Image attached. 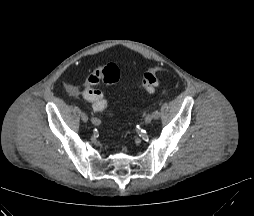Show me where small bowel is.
<instances>
[{"label": "small bowel", "instance_id": "1", "mask_svg": "<svg viewBox=\"0 0 254 216\" xmlns=\"http://www.w3.org/2000/svg\"><path fill=\"white\" fill-rule=\"evenodd\" d=\"M65 89L66 91L71 95V96H78L80 94V90L74 86V85H71V84H67L65 86ZM83 96H84V91H83ZM90 102V101H89ZM92 103V102H91ZM93 105V104H92ZM93 108L95 111H102L104 109V107H99V106H94L93 105Z\"/></svg>", "mask_w": 254, "mask_h": 216}]
</instances>
